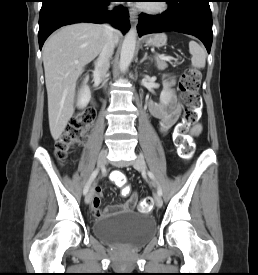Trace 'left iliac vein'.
I'll use <instances>...</instances> for the list:
<instances>
[{
	"label": "left iliac vein",
	"mask_w": 258,
	"mask_h": 275,
	"mask_svg": "<svg viewBox=\"0 0 258 275\" xmlns=\"http://www.w3.org/2000/svg\"><path fill=\"white\" fill-rule=\"evenodd\" d=\"M132 165L135 169L139 171H144L146 168V163L142 156H137L136 160L133 161ZM155 204L159 208H161L163 205L162 198L158 194L155 195Z\"/></svg>",
	"instance_id": "4c4485c4"
}]
</instances>
